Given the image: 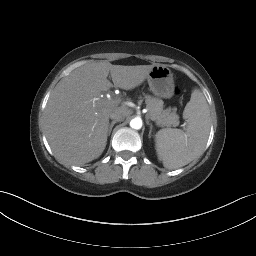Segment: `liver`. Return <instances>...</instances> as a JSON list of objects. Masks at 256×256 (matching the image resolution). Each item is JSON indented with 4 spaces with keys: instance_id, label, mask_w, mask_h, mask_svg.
<instances>
[{
    "instance_id": "obj_1",
    "label": "liver",
    "mask_w": 256,
    "mask_h": 256,
    "mask_svg": "<svg viewBox=\"0 0 256 256\" xmlns=\"http://www.w3.org/2000/svg\"><path fill=\"white\" fill-rule=\"evenodd\" d=\"M153 65L123 66L108 61L87 63L62 78L52 91L44 112V129L49 145L62 163L84 165L97 159L107 144L110 113L125 107H114L100 98L113 85L125 90L141 85Z\"/></svg>"
}]
</instances>
